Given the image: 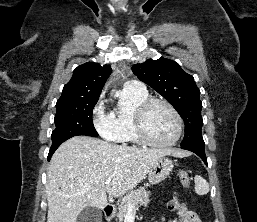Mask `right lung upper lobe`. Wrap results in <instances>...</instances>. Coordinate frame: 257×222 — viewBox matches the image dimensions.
Segmentation results:
<instances>
[{"label":"right lung upper lobe","mask_w":257,"mask_h":222,"mask_svg":"<svg viewBox=\"0 0 257 222\" xmlns=\"http://www.w3.org/2000/svg\"><path fill=\"white\" fill-rule=\"evenodd\" d=\"M109 65L87 62L74 69L71 80L64 86L60 100L87 96H100L102 88L111 74Z\"/></svg>","instance_id":"1"}]
</instances>
